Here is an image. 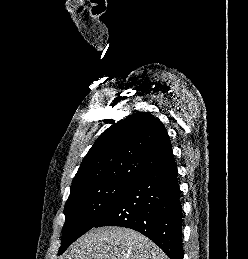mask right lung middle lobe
<instances>
[{"instance_id": "right-lung-middle-lobe-1", "label": "right lung middle lobe", "mask_w": 248, "mask_h": 259, "mask_svg": "<svg viewBox=\"0 0 248 259\" xmlns=\"http://www.w3.org/2000/svg\"><path fill=\"white\" fill-rule=\"evenodd\" d=\"M132 182L111 180L72 189L64 207L62 254L77 238L93 228L114 207Z\"/></svg>"}]
</instances>
